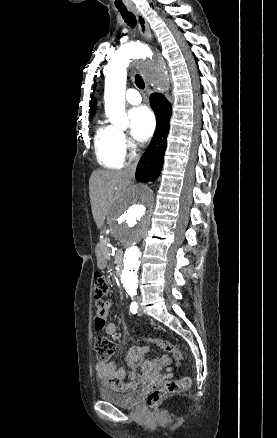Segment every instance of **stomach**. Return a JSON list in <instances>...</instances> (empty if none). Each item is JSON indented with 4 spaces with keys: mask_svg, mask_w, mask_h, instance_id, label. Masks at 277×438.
<instances>
[{
    "mask_svg": "<svg viewBox=\"0 0 277 438\" xmlns=\"http://www.w3.org/2000/svg\"><path fill=\"white\" fill-rule=\"evenodd\" d=\"M98 266L104 268L106 266V259L101 253H98Z\"/></svg>",
    "mask_w": 277,
    "mask_h": 438,
    "instance_id": "0dacf381",
    "label": "stomach"
}]
</instances>
